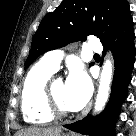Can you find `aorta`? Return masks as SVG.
<instances>
[{
    "instance_id": "1",
    "label": "aorta",
    "mask_w": 136,
    "mask_h": 136,
    "mask_svg": "<svg viewBox=\"0 0 136 136\" xmlns=\"http://www.w3.org/2000/svg\"><path fill=\"white\" fill-rule=\"evenodd\" d=\"M112 74H113L112 62L109 59H106L102 66L98 94L95 102L96 112H100L104 108L108 100Z\"/></svg>"
}]
</instances>
